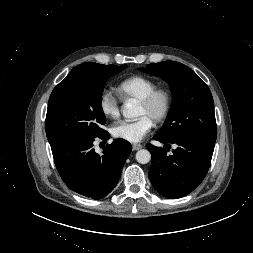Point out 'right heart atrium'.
I'll return each mask as SVG.
<instances>
[{
	"mask_svg": "<svg viewBox=\"0 0 253 253\" xmlns=\"http://www.w3.org/2000/svg\"><path fill=\"white\" fill-rule=\"evenodd\" d=\"M100 112L106 118H117L120 114V102L117 96L110 90H103L98 98Z\"/></svg>",
	"mask_w": 253,
	"mask_h": 253,
	"instance_id": "d8ad5b80",
	"label": "right heart atrium"
}]
</instances>
